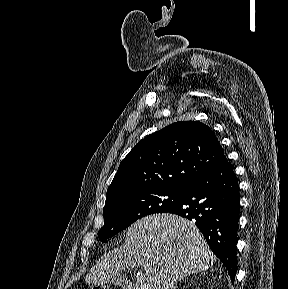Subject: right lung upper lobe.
Here are the masks:
<instances>
[{"label":"right lung upper lobe","instance_id":"right-lung-upper-lobe-1","mask_svg":"<svg viewBox=\"0 0 288 289\" xmlns=\"http://www.w3.org/2000/svg\"><path fill=\"white\" fill-rule=\"evenodd\" d=\"M214 132L198 121L173 123L141 140L122 160L107 197L151 188H185L224 157Z\"/></svg>","mask_w":288,"mask_h":289}]
</instances>
